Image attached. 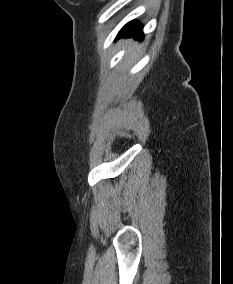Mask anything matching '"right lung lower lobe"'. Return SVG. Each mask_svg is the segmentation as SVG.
Masks as SVG:
<instances>
[{
	"mask_svg": "<svg viewBox=\"0 0 233 284\" xmlns=\"http://www.w3.org/2000/svg\"><path fill=\"white\" fill-rule=\"evenodd\" d=\"M142 24L138 21H131L127 23L118 33L117 38L120 37H137L138 39L142 40L144 38V34L141 32L142 31Z\"/></svg>",
	"mask_w": 233,
	"mask_h": 284,
	"instance_id": "1",
	"label": "right lung lower lobe"
}]
</instances>
